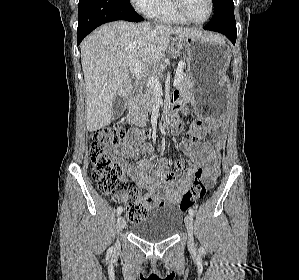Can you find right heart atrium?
<instances>
[{
	"label": "right heart atrium",
	"mask_w": 299,
	"mask_h": 280,
	"mask_svg": "<svg viewBox=\"0 0 299 280\" xmlns=\"http://www.w3.org/2000/svg\"><path fill=\"white\" fill-rule=\"evenodd\" d=\"M155 0H130L132 6L139 12L148 13Z\"/></svg>",
	"instance_id": "d8ad5b80"
}]
</instances>
